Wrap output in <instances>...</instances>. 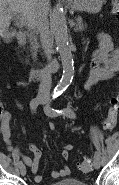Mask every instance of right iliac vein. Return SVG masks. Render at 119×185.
Listing matches in <instances>:
<instances>
[{
  "label": "right iliac vein",
  "instance_id": "obj_1",
  "mask_svg": "<svg viewBox=\"0 0 119 185\" xmlns=\"http://www.w3.org/2000/svg\"><path fill=\"white\" fill-rule=\"evenodd\" d=\"M19 168H20L21 175L24 176L26 174V167H25V165L23 164Z\"/></svg>",
  "mask_w": 119,
  "mask_h": 185
}]
</instances>
